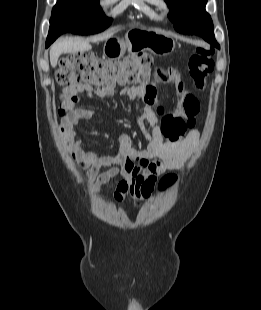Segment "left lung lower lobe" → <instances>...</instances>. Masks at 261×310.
<instances>
[{"instance_id": "1", "label": "left lung lower lobe", "mask_w": 261, "mask_h": 310, "mask_svg": "<svg viewBox=\"0 0 261 310\" xmlns=\"http://www.w3.org/2000/svg\"><path fill=\"white\" fill-rule=\"evenodd\" d=\"M196 35L203 37L207 42L211 45L219 47L218 43L214 37V30H213V23H201L200 26L197 28Z\"/></svg>"}]
</instances>
